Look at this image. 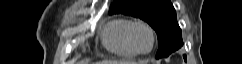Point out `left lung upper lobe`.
Segmentation results:
<instances>
[{
  "mask_svg": "<svg viewBox=\"0 0 242 64\" xmlns=\"http://www.w3.org/2000/svg\"><path fill=\"white\" fill-rule=\"evenodd\" d=\"M109 13H123L146 21L157 33V59L169 56L183 45L181 28L170 0H115Z\"/></svg>",
  "mask_w": 242,
  "mask_h": 64,
  "instance_id": "left-lung-upper-lobe-1",
  "label": "left lung upper lobe"
}]
</instances>
